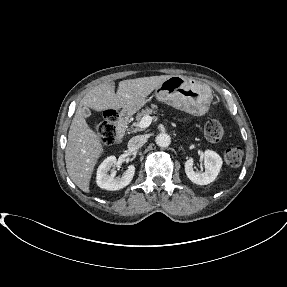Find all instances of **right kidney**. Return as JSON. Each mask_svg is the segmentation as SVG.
Wrapping results in <instances>:
<instances>
[{"label":"right kidney","mask_w":287,"mask_h":287,"mask_svg":"<svg viewBox=\"0 0 287 287\" xmlns=\"http://www.w3.org/2000/svg\"><path fill=\"white\" fill-rule=\"evenodd\" d=\"M116 162L117 159L115 156H109L98 167L96 182L100 188L112 191L120 190L132 181L135 173L134 165H129L122 177H116L115 170L109 173Z\"/></svg>","instance_id":"ca27d5eb"}]
</instances>
